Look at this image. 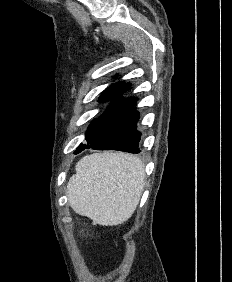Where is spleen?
<instances>
[{"mask_svg": "<svg viewBox=\"0 0 232 282\" xmlns=\"http://www.w3.org/2000/svg\"><path fill=\"white\" fill-rule=\"evenodd\" d=\"M67 185L69 204L79 215L113 226L134 213L143 190L144 165L124 153L92 154L75 166Z\"/></svg>", "mask_w": 232, "mask_h": 282, "instance_id": "spleen-1", "label": "spleen"}]
</instances>
